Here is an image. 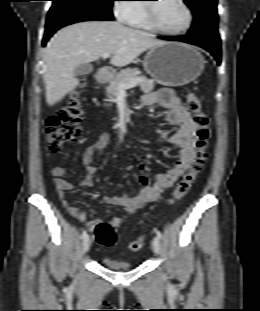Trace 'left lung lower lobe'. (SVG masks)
I'll return each mask as SVG.
<instances>
[{"label":"left lung lower lobe","instance_id":"obj_1","mask_svg":"<svg viewBox=\"0 0 260 311\" xmlns=\"http://www.w3.org/2000/svg\"><path fill=\"white\" fill-rule=\"evenodd\" d=\"M160 38L165 39V40H171V41L186 42V43H190L193 45L203 47L215 57L218 64L221 63V41L220 39L193 36L189 34L187 36L160 37Z\"/></svg>","mask_w":260,"mask_h":311}]
</instances>
